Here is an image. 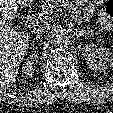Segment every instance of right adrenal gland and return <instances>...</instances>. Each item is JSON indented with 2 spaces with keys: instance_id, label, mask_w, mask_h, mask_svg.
<instances>
[{
  "instance_id": "1",
  "label": "right adrenal gland",
  "mask_w": 113,
  "mask_h": 113,
  "mask_svg": "<svg viewBox=\"0 0 113 113\" xmlns=\"http://www.w3.org/2000/svg\"><path fill=\"white\" fill-rule=\"evenodd\" d=\"M39 39H41V36H36V37L33 38L32 42L34 43L35 40L38 41Z\"/></svg>"
}]
</instances>
